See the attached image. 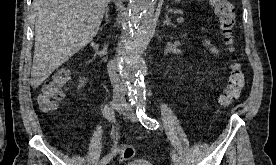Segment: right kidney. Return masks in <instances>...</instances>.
Here are the masks:
<instances>
[{
	"instance_id": "obj_1",
	"label": "right kidney",
	"mask_w": 276,
	"mask_h": 165,
	"mask_svg": "<svg viewBox=\"0 0 276 165\" xmlns=\"http://www.w3.org/2000/svg\"><path fill=\"white\" fill-rule=\"evenodd\" d=\"M79 82H80V84H79L78 88H80L82 85H84L86 83V79L83 78Z\"/></svg>"
}]
</instances>
